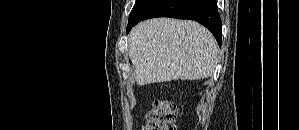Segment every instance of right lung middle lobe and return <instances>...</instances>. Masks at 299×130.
Listing matches in <instances>:
<instances>
[{"instance_id":"dd1d6c3e","label":"right lung middle lobe","mask_w":299,"mask_h":130,"mask_svg":"<svg viewBox=\"0 0 299 130\" xmlns=\"http://www.w3.org/2000/svg\"><path fill=\"white\" fill-rule=\"evenodd\" d=\"M147 2V0H136V3L130 13V16H129V21L132 19V17L134 16V14L140 9V7L145 3Z\"/></svg>"}]
</instances>
